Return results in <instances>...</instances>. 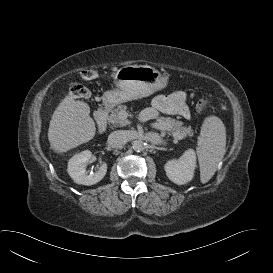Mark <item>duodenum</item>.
I'll use <instances>...</instances> for the list:
<instances>
[{"mask_svg": "<svg viewBox=\"0 0 273 273\" xmlns=\"http://www.w3.org/2000/svg\"><path fill=\"white\" fill-rule=\"evenodd\" d=\"M95 117L97 122V131L103 133L107 127V111L100 108L96 111Z\"/></svg>", "mask_w": 273, "mask_h": 273, "instance_id": "duodenum-1", "label": "duodenum"}]
</instances>
